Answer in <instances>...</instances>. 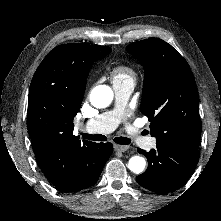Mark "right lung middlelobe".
I'll list each match as a JSON object with an SVG mask.
<instances>
[{
	"label": "right lung middle lobe",
	"mask_w": 221,
	"mask_h": 221,
	"mask_svg": "<svg viewBox=\"0 0 221 221\" xmlns=\"http://www.w3.org/2000/svg\"><path fill=\"white\" fill-rule=\"evenodd\" d=\"M111 52V49L110 50H107V51H100L99 53L96 54V57L98 59L102 58V57H105L107 54H109Z\"/></svg>",
	"instance_id": "right-lung-middle-lobe-1"
}]
</instances>
